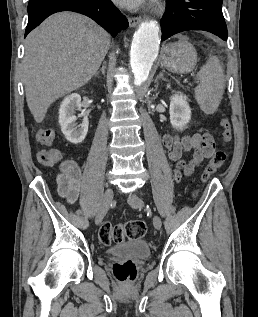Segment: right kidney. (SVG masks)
Listing matches in <instances>:
<instances>
[{"label":"right kidney","instance_id":"1","mask_svg":"<svg viewBox=\"0 0 258 317\" xmlns=\"http://www.w3.org/2000/svg\"><path fill=\"white\" fill-rule=\"evenodd\" d=\"M75 110H81V96L78 92H72V94L65 96L59 108V124L63 134H65L67 140L78 144V142L84 140L87 134L89 120L87 114L81 112V114H78V116H83L80 124L75 122L77 120Z\"/></svg>","mask_w":258,"mask_h":317}]
</instances>
